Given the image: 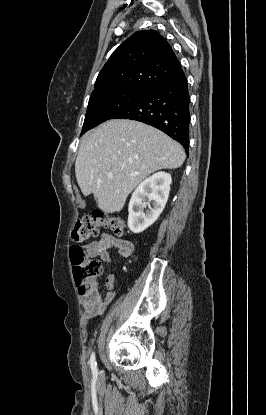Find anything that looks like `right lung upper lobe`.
Wrapping results in <instances>:
<instances>
[{"instance_id":"1","label":"right lung upper lobe","mask_w":266,"mask_h":415,"mask_svg":"<svg viewBox=\"0 0 266 415\" xmlns=\"http://www.w3.org/2000/svg\"><path fill=\"white\" fill-rule=\"evenodd\" d=\"M181 73L183 69L167 40L155 30L139 31L112 53L92 94L116 88L151 90Z\"/></svg>"}]
</instances>
